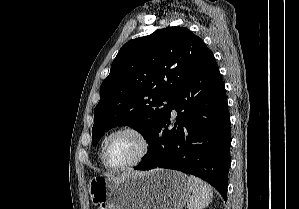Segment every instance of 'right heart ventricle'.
Masks as SVG:
<instances>
[{"label":"right heart ventricle","instance_id":"1","mask_svg":"<svg viewBox=\"0 0 299 209\" xmlns=\"http://www.w3.org/2000/svg\"><path fill=\"white\" fill-rule=\"evenodd\" d=\"M102 149H103V146H102V148H101V152H100V155H101V159H102Z\"/></svg>","mask_w":299,"mask_h":209}]
</instances>
